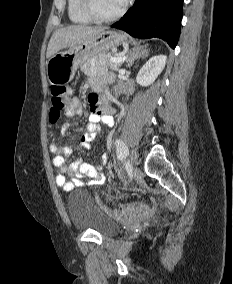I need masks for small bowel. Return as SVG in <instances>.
<instances>
[{"instance_id":"1","label":"small bowel","mask_w":233,"mask_h":284,"mask_svg":"<svg viewBox=\"0 0 233 284\" xmlns=\"http://www.w3.org/2000/svg\"><path fill=\"white\" fill-rule=\"evenodd\" d=\"M93 92L88 96L90 105V114L88 117L87 131L83 133L79 141L86 145L90 143L96 136L98 124L100 122L113 126L114 119L112 112L106 104L104 98L99 94L104 88V81L100 79H92L89 85ZM68 117L79 116L83 114V108L77 98H72L65 110ZM70 124L65 123L61 127V135H64L69 129ZM50 152L53 154V165L58 169L56 175V184L65 191H71L75 186L82 185H102L105 182V173L102 166H93L82 159H77L69 166L66 164V157L71 154V146L61 147L53 142L49 146ZM108 156H102V164H106ZM70 174L72 179L68 180L67 175Z\"/></svg>"}]
</instances>
